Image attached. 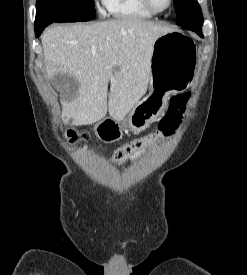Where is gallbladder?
Segmentation results:
<instances>
[{"label":"gallbladder","instance_id":"gallbladder-1","mask_svg":"<svg viewBox=\"0 0 247 275\" xmlns=\"http://www.w3.org/2000/svg\"><path fill=\"white\" fill-rule=\"evenodd\" d=\"M50 83L60 93L65 94L67 92H76L78 89V82L69 74L58 73L50 78Z\"/></svg>","mask_w":247,"mask_h":275}]
</instances>
